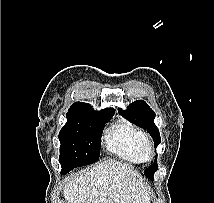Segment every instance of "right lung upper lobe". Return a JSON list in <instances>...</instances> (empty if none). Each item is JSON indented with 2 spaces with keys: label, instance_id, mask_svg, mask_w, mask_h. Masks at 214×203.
<instances>
[{
  "label": "right lung upper lobe",
  "instance_id": "1",
  "mask_svg": "<svg viewBox=\"0 0 214 203\" xmlns=\"http://www.w3.org/2000/svg\"><path fill=\"white\" fill-rule=\"evenodd\" d=\"M69 110H87V111H91L94 112L96 114H100V115H113L114 114V109L113 108H106L103 109L101 111H93L92 107L90 104H86L83 102H75L70 108Z\"/></svg>",
  "mask_w": 214,
  "mask_h": 203
}]
</instances>
